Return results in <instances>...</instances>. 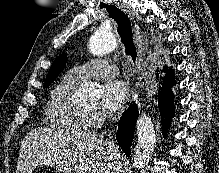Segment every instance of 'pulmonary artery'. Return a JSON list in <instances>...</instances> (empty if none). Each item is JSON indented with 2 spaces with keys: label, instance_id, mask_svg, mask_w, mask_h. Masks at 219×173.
I'll return each mask as SVG.
<instances>
[{
  "label": "pulmonary artery",
  "instance_id": "1",
  "mask_svg": "<svg viewBox=\"0 0 219 173\" xmlns=\"http://www.w3.org/2000/svg\"><path fill=\"white\" fill-rule=\"evenodd\" d=\"M118 69L115 65L101 58L90 59L74 68H71L66 77L76 83L87 79H106L115 76Z\"/></svg>",
  "mask_w": 219,
  "mask_h": 173
}]
</instances>
